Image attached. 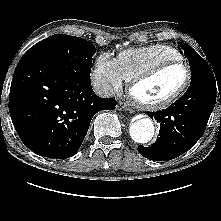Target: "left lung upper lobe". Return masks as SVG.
Wrapping results in <instances>:
<instances>
[{"label": "left lung upper lobe", "instance_id": "1", "mask_svg": "<svg viewBox=\"0 0 221 221\" xmlns=\"http://www.w3.org/2000/svg\"><path fill=\"white\" fill-rule=\"evenodd\" d=\"M179 46L185 51L192 70L191 85L199 83L210 77H214L212 70L207 62L188 44L179 42Z\"/></svg>", "mask_w": 221, "mask_h": 221}]
</instances>
